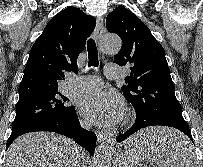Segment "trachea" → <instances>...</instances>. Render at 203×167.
<instances>
[{
	"label": "trachea",
	"instance_id": "1",
	"mask_svg": "<svg viewBox=\"0 0 203 167\" xmlns=\"http://www.w3.org/2000/svg\"><path fill=\"white\" fill-rule=\"evenodd\" d=\"M87 51H88V67L94 66L98 67V50L96 42L94 39L90 38L87 42Z\"/></svg>",
	"mask_w": 203,
	"mask_h": 167
}]
</instances>
